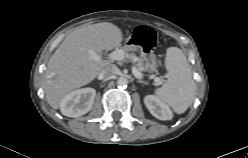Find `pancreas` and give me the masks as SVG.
Listing matches in <instances>:
<instances>
[{
	"mask_svg": "<svg viewBox=\"0 0 248 158\" xmlns=\"http://www.w3.org/2000/svg\"><path fill=\"white\" fill-rule=\"evenodd\" d=\"M125 51H129L128 48H125ZM130 58L133 59L134 58V55H130ZM136 66H137V69L139 71H145V63L142 59H137V63H136Z\"/></svg>",
	"mask_w": 248,
	"mask_h": 158,
	"instance_id": "obj_1",
	"label": "pancreas"
}]
</instances>
